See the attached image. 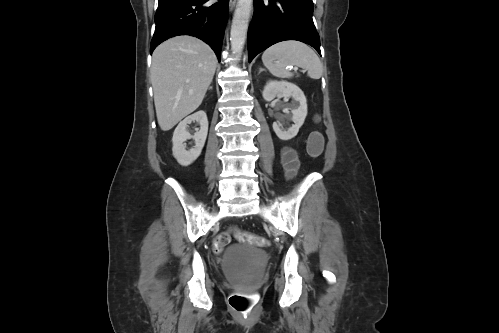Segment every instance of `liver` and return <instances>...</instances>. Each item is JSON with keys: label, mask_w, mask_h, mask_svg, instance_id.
I'll list each match as a JSON object with an SVG mask.
<instances>
[{"label": "liver", "mask_w": 499, "mask_h": 333, "mask_svg": "<svg viewBox=\"0 0 499 333\" xmlns=\"http://www.w3.org/2000/svg\"><path fill=\"white\" fill-rule=\"evenodd\" d=\"M216 66L213 50L196 37L176 36L155 49L151 82L156 116L163 131L172 129L201 105Z\"/></svg>", "instance_id": "liver-1"}]
</instances>
